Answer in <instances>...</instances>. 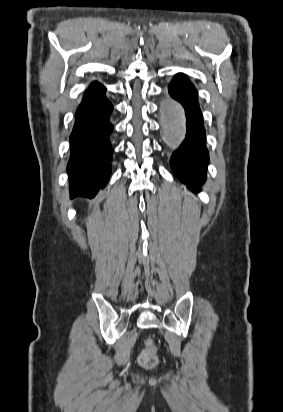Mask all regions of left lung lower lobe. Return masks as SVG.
<instances>
[{
  "instance_id": "1",
  "label": "left lung lower lobe",
  "mask_w": 283,
  "mask_h": 412,
  "mask_svg": "<svg viewBox=\"0 0 283 412\" xmlns=\"http://www.w3.org/2000/svg\"><path fill=\"white\" fill-rule=\"evenodd\" d=\"M169 94L182 104L186 114V138L170 159L175 175L181 182L192 187L195 193L206 179L209 162L205 146V129L197 100V91L183 74H178L168 86Z\"/></svg>"
}]
</instances>
